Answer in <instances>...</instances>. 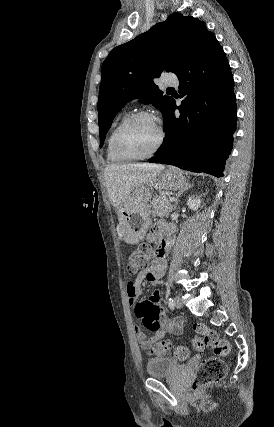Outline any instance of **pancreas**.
<instances>
[{
  "label": "pancreas",
  "mask_w": 274,
  "mask_h": 427,
  "mask_svg": "<svg viewBox=\"0 0 274 427\" xmlns=\"http://www.w3.org/2000/svg\"><path fill=\"white\" fill-rule=\"evenodd\" d=\"M151 214L153 217H168L170 212H172V206L169 198L167 196H155L152 202Z\"/></svg>",
  "instance_id": "cf45deb5"
}]
</instances>
